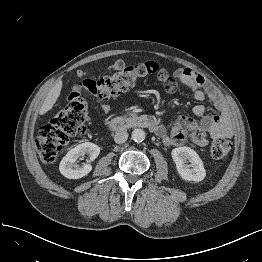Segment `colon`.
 Here are the masks:
<instances>
[{
	"label": "colon",
	"mask_w": 262,
	"mask_h": 262,
	"mask_svg": "<svg viewBox=\"0 0 262 262\" xmlns=\"http://www.w3.org/2000/svg\"><path fill=\"white\" fill-rule=\"evenodd\" d=\"M163 71L156 62L147 61L134 65L114 63L109 74L100 78H86L85 73H77L76 80L70 85L73 91L67 98L66 105L53 115L38 130L35 146L41 160L48 165L56 162L69 139L86 133L88 110L81 98L85 90L91 92L98 101H103L134 85L138 80ZM231 150V143L218 138L209 146V153L214 159L225 157Z\"/></svg>",
	"instance_id": "colon-1"
}]
</instances>
